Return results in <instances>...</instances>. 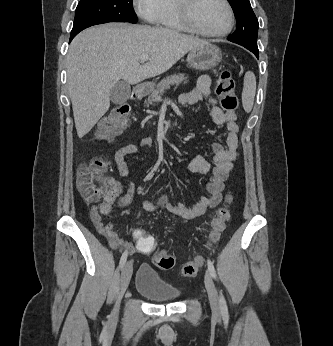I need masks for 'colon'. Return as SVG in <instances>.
Here are the masks:
<instances>
[{
    "label": "colon",
    "mask_w": 333,
    "mask_h": 346,
    "mask_svg": "<svg viewBox=\"0 0 333 346\" xmlns=\"http://www.w3.org/2000/svg\"><path fill=\"white\" fill-rule=\"evenodd\" d=\"M216 94L221 99L225 111L234 112L238 107V98L236 95L235 82L229 70L224 69L220 73ZM130 107L126 104L115 107L99 123L96 137L100 140L109 139L126 128ZM108 162L103 157H97L84 164L77 174V186L82 197L88 203L100 204L109 195L111 189V180L106 177ZM232 196H227L226 201L231 203ZM230 219L228 208H220L213 218L210 226L209 238L211 242L219 240L220 235L225 230L226 224ZM130 232L135 238L137 254L144 256H153L154 265L160 269L168 270L174 267L175 258L167 251H158V240L154 235H143L142 226H131ZM203 264V259L195 258L181 268V273L185 277L194 276Z\"/></svg>",
    "instance_id": "1"
}]
</instances>
